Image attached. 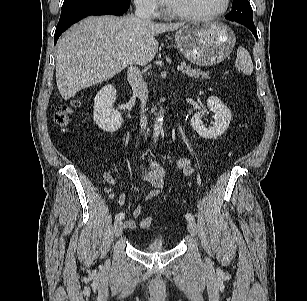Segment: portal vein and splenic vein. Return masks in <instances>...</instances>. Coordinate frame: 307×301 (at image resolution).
<instances>
[{"label":"portal vein and splenic vein","mask_w":307,"mask_h":301,"mask_svg":"<svg viewBox=\"0 0 307 301\" xmlns=\"http://www.w3.org/2000/svg\"><path fill=\"white\" fill-rule=\"evenodd\" d=\"M177 70H178V71H183V70H184V65L178 66V67H177Z\"/></svg>","instance_id":"portal-vein-and-splenic-vein-1"}]
</instances>
